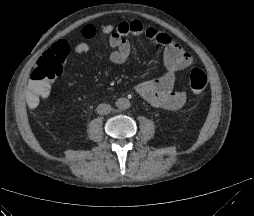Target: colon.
<instances>
[{"label":"colon","mask_w":254,"mask_h":216,"mask_svg":"<svg viewBox=\"0 0 254 216\" xmlns=\"http://www.w3.org/2000/svg\"><path fill=\"white\" fill-rule=\"evenodd\" d=\"M62 47L65 48L66 45L63 44ZM65 59V53L59 50L47 51L39 58L24 87L22 101L26 109L36 112L44 108L52 88L51 81L62 74ZM189 84L194 93H203L207 85L205 71L197 67L191 69Z\"/></svg>","instance_id":"5ec220e1"}]
</instances>
